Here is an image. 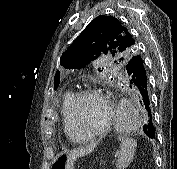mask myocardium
Listing matches in <instances>:
<instances>
[{"mask_svg": "<svg viewBox=\"0 0 177 169\" xmlns=\"http://www.w3.org/2000/svg\"><path fill=\"white\" fill-rule=\"evenodd\" d=\"M89 96L97 97L103 103L105 110H106V118H105V121L102 127L99 128L97 131L91 134H88V135L81 136L77 133L78 132V119H77L78 108L82 100ZM70 118H71L73 130L76 134L75 135L76 140L82 141V140L92 139V138L101 136L104 133H106L109 130L111 123H112L113 111H112V107L110 105L109 99L103 92H101L100 90L96 88L85 87L83 89H80L75 94V99L73 101V104L70 110Z\"/></svg>", "mask_w": 177, "mask_h": 169, "instance_id": "myocardium-1", "label": "myocardium"}]
</instances>
